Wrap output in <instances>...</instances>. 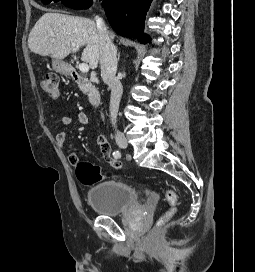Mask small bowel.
<instances>
[{
  "label": "small bowel",
  "mask_w": 255,
  "mask_h": 272,
  "mask_svg": "<svg viewBox=\"0 0 255 272\" xmlns=\"http://www.w3.org/2000/svg\"><path fill=\"white\" fill-rule=\"evenodd\" d=\"M88 120H89L88 115L85 112L80 111L77 113V122L79 125L81 126L87 125ZM60 121L64 126H71L73 124L72 117L68 115L61 116ZM67 137H68V132L61 131L56 135V142L61 148V150L67 155L69 162L72 164H76L78 162V156L75 151H73L66 145ZM97 144L99 145L101 149V153L103 155L104 160L107 161L112 167V171L108 173L106 177L107 178L115 177L117 171L121 167V164L117 160V158L112 156V148L108 139L104 135H99L97 137Z\"/></svg>",
  "instance_id": "obj_1"
}]
</instances>
